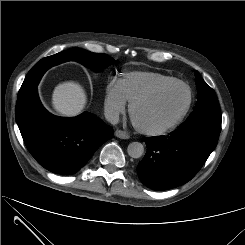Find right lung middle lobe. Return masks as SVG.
Here are the masks:
<instances>
[{
	"mask_svg": "<svg viewBox=\"0 0 245 245\" xmlns=\"http://www.w3.org/2000/svg\"><path fill=\"white\" fill-rule=\"evenodd\" d=\"M51 57H53L54 60H56L57 64L65 61H77L96 71L105 68L115 62L113 58L106 54L92 53L90 51L83 50L77 47L71 48L63 52H59L55 55H52ZM36 72L37 68L35 65L29 73H31V75H34ZM31 92H29V82H23L18 94V100L24 99Z\"/></svg>",
	"mask_w": 245,
	"mask_h": 245,
	"instance_id": "obj_1",
	"label": "right lung middle lobe"
}]
</instances>
